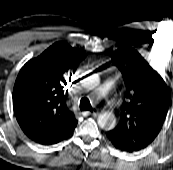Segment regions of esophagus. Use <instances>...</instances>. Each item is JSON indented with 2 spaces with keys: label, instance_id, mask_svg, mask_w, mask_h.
I'll return each mask as SVG.
<instances>
[{
  "label": "esophagus",
  "instance_id": "34e87169",
  "mask_svg": "<svg viewBox=\"0 0 173 170\" xmlns=\"http://www.w3.org/2000/svg\"><path fill=\"white\" fill-rule=\"evenodd\" d=\"M87 115H92V116H97L98 114H99V111H93V112H91V111H87V112H85Z\"/></svg>",
  "mask_w": 173,
  "mask_h": 170
}]
</instances>
